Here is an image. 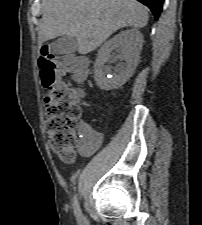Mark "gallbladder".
Wrapping results in <instances>:
<instances>
[{
	"mask_svg": "<svg viewBox=\"0 0 202 225\" xmlns=\"http://www.w3.org/2000/svg\"><path fill=\"white\" fill-rule=\"evenodd\" d=\"M78 49L77 40L72 36H62L52 42L49 52L54 55L72 54Z\"/></svg>",
	"mask_w": 202,
	"mask_h": 225,
	"instance_id": "gallbladder-1",
	"label": "gallbladder"
}]
</instances>
